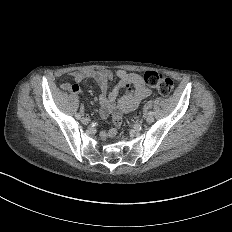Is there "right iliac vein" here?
<instances>
[{"instance_id": "63e3f726", "label": "right iliac vein", "mask_w": 232, "mask_h": 232, "mask_svg": "<svg viewBox=\"0 0 232 232\" xmlns=\"http://www.w3.org/2000/svg\"><path fill=\"white\" fill-rule=\"evenodd\" d=\"M81 124L84 125V126H87L89 124V121L87 118H82L81 119Z\"/></svg>"}]
</instances>
